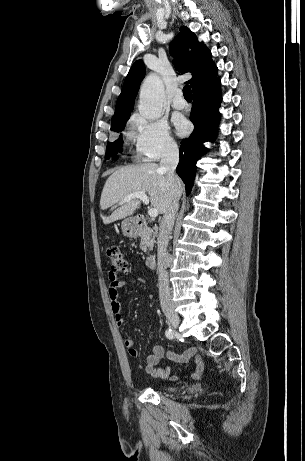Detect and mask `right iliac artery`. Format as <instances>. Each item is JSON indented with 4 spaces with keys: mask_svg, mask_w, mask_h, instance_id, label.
Returning <instances> with one entry per match:
<instances>
[{
    "mask_svg": "<svg viewBox=\"0 0 305 461\" xmlns=\"http://www.w3.org/2000/svg\"><path fill=\"white\" fill-rule=\"evenodd\" d=\"M165 335L168 339H173L175 337V333L171 328L166 330Z\"/></svg>",
    "mask_w": 305,
    "mask_h": 461,
    "instance_id": "right-iliac-artery-1",
    "label": "right iliac artery"
}]
</instances>
